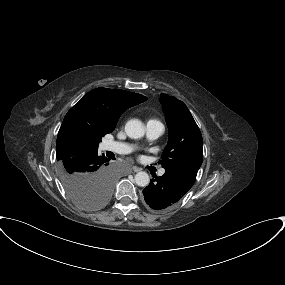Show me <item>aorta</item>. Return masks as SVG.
<instances>
[{
    "label": "aorta",
    "mask_w": 285,
    "mask_h": 285,
    "mask_svg": "<svg viewBox=\"0 0 285 285\" xmlns=\"http://www.w3.org/2000/svg\"><path fill=\"white\" fill-rule=\"evenodd\" d=\"M125 132L132 139L142 138L145 134V128L138 119H131L125 124ZM150 178L148 173L141 171L135 175V183L138 186L145 187L149 184Z\"/></svg>",
    "instance_id": "762f6f07"
}]
</instances>
